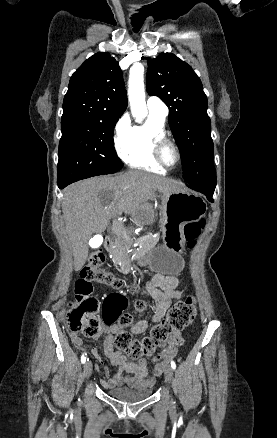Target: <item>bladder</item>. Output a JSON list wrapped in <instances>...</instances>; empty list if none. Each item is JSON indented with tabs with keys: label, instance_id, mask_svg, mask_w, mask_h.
<instances>
[{
	"label": "bladder",
	"instance_id": "1",
	"mask_svg": "<svg viewBox=\"0 0 277 438\" xmlns=\"http://www.w3.org/2000/svg\"><path fill=\"white\" fill-rule=\"evenodd\" d=\"M152 390L149 388L112 387L108 389V396L122 403H135L149 397Z\"/></svg>",
	"mask_w": 277,
	"mask_h": 438
}]
</instances>
